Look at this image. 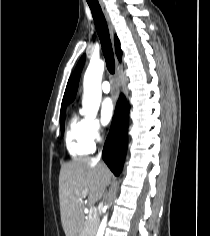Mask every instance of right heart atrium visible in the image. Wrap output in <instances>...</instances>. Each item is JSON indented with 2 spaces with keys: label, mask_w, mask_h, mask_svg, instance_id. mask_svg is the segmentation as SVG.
<instances>
[{
  "label": "right heart atrium",
  "mask_w": 210,
  "mask_h": 236,
  "mask_svg": "<svg viewBox=\"0 0 210 236\" xmlns=\"http://www.w3.org/2000/svg\"><path fill=\"white\" fill-rule=\"evenodd\" d=\"M87 130L93 141H98L102 137V126L97 119H88Z\"/></svg>",
  "instance_id": "right-heart-atrium-1"
}]
</instances>
